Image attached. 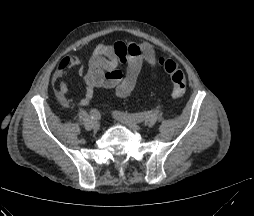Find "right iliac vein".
I'll list each match as a JSON object with an SVG mask.
<instances>
[{
  "instance_id": "63e3f726",
  "label": "right iliac vein",
  "mask_w": 254,
  "mask_h": 216,
  "mask_svg": "<svg viewBox=\"0 0 254 216\" xmlns=\"http://www.w3.org/2000/svg\"><path fill=\"white\" fill-rule=\"evenodd\" d=\"M100 126H101V124H100V122H99L98 120H94V121L92 122V129H93L94 131L99 130V129H100Z\"/></svg>"
}]
</instances>
